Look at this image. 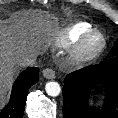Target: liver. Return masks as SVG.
I'll return each mask as SVG.
<instances>
[{"mask_svg": "<svg viewBox=\"0 0 118 118\" xmlns=\"http://www.w3.org/2000/svg\"><path fill=\"white\" fill-rule=\"evenodd\" d=\"M54 22L41 13L23 11L10 23L0 21V101L10 89L20 61L53 42Z\"/></svg>", "mask_w": 118, "mask_h": 118, "instance_id": "6515ba94", "label": "liver"}]
</instances>
